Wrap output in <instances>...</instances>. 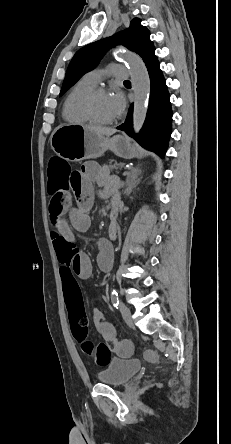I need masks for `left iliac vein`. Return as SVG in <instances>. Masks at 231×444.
Instances as JSON below:
<instances>
[{"instance_id": "1", "label": "left iliac vein", "mask_w": 231, "mask_h": 444, "mask_svg": "<svg viewBox=\"0 0 231 444\" xmlns=\"http://www.w3.org/2000/svg\"><path fill=\"white\" fill-rule=\"evenodd\" d=\"M119 310L122 314L124 322L128 325H132L131 311L129 310V308L125 304L120 303Z\"/></svg>"}]
</instances>
